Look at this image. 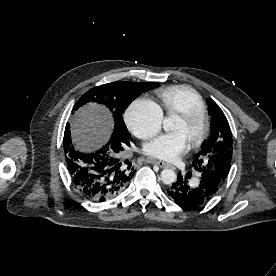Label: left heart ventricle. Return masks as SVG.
<instances>
[{"instance_id": "left-heart-ventricle-1", "label": "left heart ventricle", "mask_w": 276, "mask_h": 276, "mask_svg": "<svg viewBox=\"0 0 276 276\" xmlns=\"http://www.w3.org/2000/svg\"><path fill=\"white\" fill-rule=\"evenodd\" d=\"M198 125H188L182 119L178 118L173 128L174 132L182 133L190 144L198 132Z\"/></svg>"}]
</instances>
